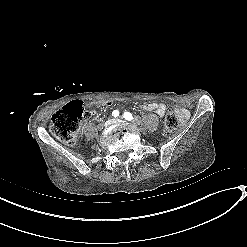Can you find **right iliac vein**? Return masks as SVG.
<instances>
[{"mask_svg": "<svg viewBox=\"0 0 247 247\" xmlns=\"http://www.w3.org/2000/svg\"><path fill=\"white\" fill-rule=\"evenodd\" d=\"M113 123H114V120H113V119H109V120H107V121L105 122L104 126H105V127H108V126H110V125L113 124Z\"/></svg>", "mask_w": 247, "mask_h": 247, "instance_id": "63e3f726", "label": "right iliac vein"}]
</instances>
